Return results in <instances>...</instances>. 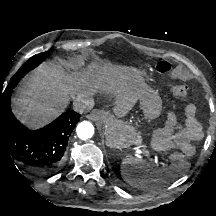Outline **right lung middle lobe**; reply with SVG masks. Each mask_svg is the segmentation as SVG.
I'll return each instance as SVG.
<instances>
[{"label": "right lung middle lobe", "instance_id": "dd1d6c3e", "mask_svg": "<svg viewBox=\"0 0 216 216\" xmlns=\"http://www.w3.org/2000/svg\"><path fill=\"white\" fill-rule=\"evenodd\" d=\"M48 55V52L40 53L31 57L11 78L9 85L15 87L17 83L23 78L25 74H27L30 70L34 69L38 66Z\"/></svg>", "mask_w": 216, "mask_h": 216}]
</instances>
